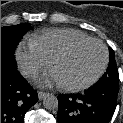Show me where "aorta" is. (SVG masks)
<instances>
[{"instance_id":"1","label":"aorta","mask_w":123,"mask_h":123,"mask_svg":"<svg viewBox=\"0 0 123 123\" xmlns=\"http://www.w3.org/2000/svg\"><path fill=\"white\" fill-rule=\"evenodd\" d=\"M43 106L47 110H55L58 108V99L53 94H46L43 99Z\"/></svg>"}]
</instances>
